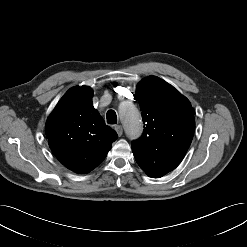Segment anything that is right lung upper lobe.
<instances>
[{
    "label": "right lung upper lobe",
    "instance_id": "1",
    "mask_svg": "<svg viewBox=\"0 0 247 247\" xmlns=\"http://www.w3.org/2000/svg\"><path fill=\"white\" fill-rule=\"evenodd\" d=\"M92 97L90 87L71 88L46 122L53 154L65 167L81 174L102 163L117 139V133L93 107Z\"/></svg>",
    "mask_w": 247,
    "mask_h": 247
}]
</instances>
